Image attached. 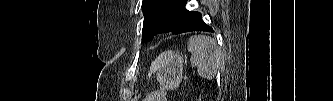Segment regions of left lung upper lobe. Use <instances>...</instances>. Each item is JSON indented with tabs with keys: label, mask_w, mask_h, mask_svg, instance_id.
<instances>
[{
	"label": "left lung upper lobe",
	"mask_w": 333,
	"mask_h": 101,
	"mask_svg": "<svg viewBox=\"0 0 333 101\" xmlns=\"http://www.w3.org/2000/svg\"><path fill=\"white\" fill-rule=\"evenodd\" d=\"M175 0H143L144 22L142 42L150 41L154 35L174 31L184 11Z\"/></svg>",
	"instance_id": "1"
}]
</instances>
